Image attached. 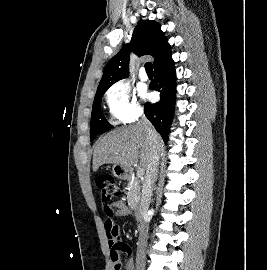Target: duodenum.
I'll return each mask as SVG.
<instances>
[{"label":"duodenum","instance_id":"duodenum-1","mask_svg":"<svg viewBox=\"0 0 267 270\" xmlns=\"http://www.w3.org/2000/svg\"><path fill=\"white\" fill-rule=\"evenodd\" d=\"M135 217L139 223H142L147 217V211H145L142 207L137 206L135 208Z\"/></svg>","mask_w":267,"mask_h":270}]
</instances>
